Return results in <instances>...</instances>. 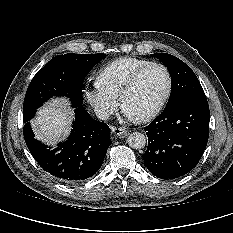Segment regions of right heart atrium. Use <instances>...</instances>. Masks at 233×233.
Segmentation results:
<instances>
[{
    "instance_id": "right-heart-atrium-1",
    "label": "right heart atrium",
    "mask_w": 233,
    "mask_h": 233,
    "mask_svg": "<svg viewBox=\"0 0 233 233\" xmlns=\"http://www.w3.org/2000/svg\"><path fill=\"white\" fill-rule=\"evenodd\" d=\"M83 95L96 115L101 119L108 118L118 106V98L111 94L98 79L84 88Z\"/></svg>"
}]
</instances>
